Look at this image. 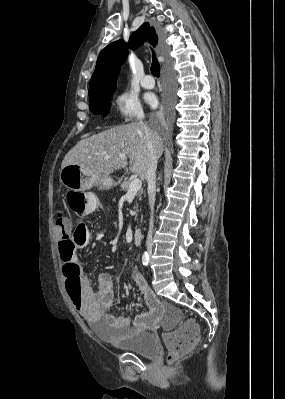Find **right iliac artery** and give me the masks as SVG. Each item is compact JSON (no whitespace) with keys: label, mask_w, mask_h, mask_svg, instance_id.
Here are the masks:
<instances>
[{"label":"right iliac artery","mask_w":285,"mask_h":399,"mask_svg":"<svg viewBox=\"0 0 285 399\" xmlns=\"http://www.w3.org/2000/svg\"><path fill=\"white\" fill-rule=\"evenodd\" d=\"M149 262V255L147 252H144L143 256H142V263L144 266H147Z\"/></svg>","instance_id":"obj_1"}]
</instances>
